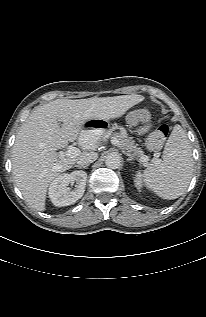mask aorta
Here are the masks:
<instances>
[{
	"label": "aorta",
	"instance_id": "1",
	"mask_svg": "<svg viewBox=\"0 0 206 317\" xmlns=\"http://www.w3.org/2000/svg\"><path fill=\"white\" fill-rule=\"evenodd\" d=\"M105 164L110 169H117L121 165V157L117 153H110L105 158Z\"/></svg>",
	"mask_w": 206,
	"mask_h": 317
}]
</instances>
